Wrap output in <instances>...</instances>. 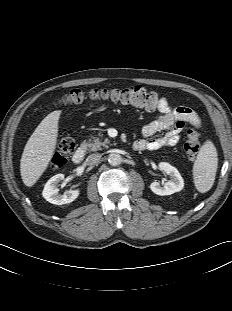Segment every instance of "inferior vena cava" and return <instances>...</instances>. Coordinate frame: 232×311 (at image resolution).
Segmentation results:
<instances>
[{
	"mask_svg": "<svg viewBox=\"0 0 232 311\" xmlns=\"http://www.w3.org/2000/svg\"><path fill=\"white\" fill-rule=\"evenodd\" d=\"M101 157L102 156L99 153L90 154L87 157L86 162L88 165H97L100 162Z\"/></svg>",
	"mask_w": 232,
	"mask_h": 311,
	"instance_id": "obj_1",
	"label": "inferior vena cava"
}]
</instances>
